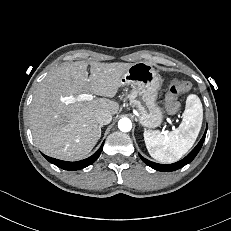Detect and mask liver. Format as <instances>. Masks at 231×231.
I'll list each match as a JSON object with an SVG mask.
<instances>
[{
	"label": "liver",
	"mask_w": 231,
	"mask_h": 231,
	"mask_svg": "<svg viewBox=\"0 0 231 231\" xmlns=\"http://www.w3.org/2000/svg\"><path fill=\"white\" fill-rule=\"evenodd\" d=\"M76 61L52 70L39 83L29 108V121L36 146L46 155L77 161L85 158L101 136L95 113L115 115L119 104L107 98L72 101L83 93L113 98L121 76L132 63Z\"/></svg>",
	"instance_id": "1"
}]
</instances>
